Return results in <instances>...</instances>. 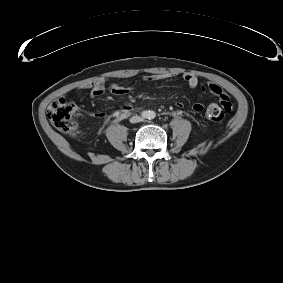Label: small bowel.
<instances>
[{"mask_svg":"<svg viewBox=\"0 0 283 283\" xmlns=\"http://www.w3.org/2000/svg\"><path fill=\"white\" fill-rule=\"evenodd\" d=\"M165 78H166V76L155 75V76L149 77L148 79L149 80H163ZM182 78L185 81V83L189 86V88H191V89H195L199 86V80L193 74H190V73L183 74ZM202 88L203 89L208 88V90L212 94H214L215 96H217L219 98L221 103L225 102V98H228V100H229L228 95L217 84L210 83L207 86H202ZM81 89L89 90L91 97L97 98V97H100L104 94V92L106 90V84H105V81L103 79H95L91 82L84 84L81 87ZM108 89L111 93H113L115 95H119V96L129 95L133 91V88L130 87V86H123V85H118V84H114V83L110 84L108 86ZM176 106H177L178 109H181L183 107V104L181 102H177ZM133 110H134L133 105L125 104L120 109V112L116 113V116L129 114ZM193 110L196 111V112H202L204 110V105L202 103H195L193 105ZM95 116L99 117V118H106L107 114L104 113V112H100V113H96Z\"/></svg>","mask_w":283,"mask_h":283,"instance_id":"c3829d8e","label":"small bowel"}]
</instances>
